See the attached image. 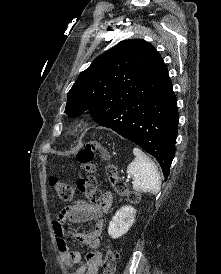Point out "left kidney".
Masks as SVG:
<instances>
[{
    "label": "left kidney",
    "instance_id": "1",
    "mask_svg": "<svg viewBox=\"0 0 221 274\" xmlns=\"http://www.w3.org/2000/svg\"><path fill=\"white\" fill-rule=\"evenodd\" d=\"M136 210L131 206H123L109 222L108 234L113 238H119L126 234L135 222Z\"/></svg>",
    "mask_w": 221,
    "mask_h": 274
}]
</instances>
